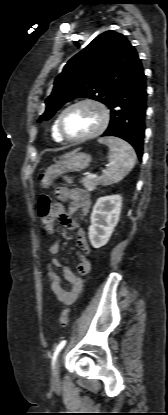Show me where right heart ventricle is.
Wrapping results in <instances>:
<instances>
[{
	"label": "right heart ventricle",
	"mask_w": 168,
	"mask_h": 415,
	"mask_svg": "<svg viewBox=\"0 0 168 415\" xmlns=\"http://www.w3.org/2000/svg\"><path fill=\"white\" fill-rule=\"evenodd\" d=\"M58 117L59 116H57L55 118V120L53 121V123H52V126H51V136H52V138H53L54 141L60 143V142H63L64 139L60 136V134L58 132V127H57Z\"/></svg>",
	"instance_id": "obj_1"
}]
</instances>
